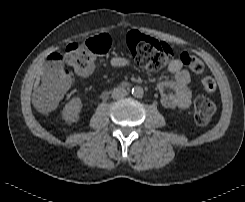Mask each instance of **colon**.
Segmentation results:
<instances>
[{
  "instance_id": "colon-1",
  "label": "colon",
  "mask_w": 245,
  "mask_h": 202,
  "mask_svg": "<svg viewBox=\"0 0 245 202\" xmlns=\"http://www.w3.org/2000/svg\"><path fill=\"white\" fill-rule=\"evenodd\" d=\"M128 52L139 68L152 71L162 69L171 62L175 53L173 49L163 41L129 32L126 36ZM112 43L108 34H100L87 40L83 44H69L63 54L55 52L48 57V65L42 79L40 103L45 112H49L62 99L71 86V74H82L91 63L92 54H105ZM182 63L194 73L200 74L204 70L203 63L196 57L183 53L179 55ZM65 65V67H64ZM205 91H216V83L213 78L206 76L201 79ZM217 110V104L209 98L200 97L194 105L195 121L199 125L207 124Z\"/></svg>"
}]
</instances>
